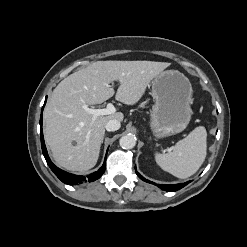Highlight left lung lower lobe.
<instances>
[{"label":"left lung lower lobe","instance_id":"obj_1","mask_svg":"<svg viewBox=\"0 0 247 247\" xmlns=\"http://www.w3.org/2000/svg\"><path fill=\"white\" fill-rule=\"evenodd\" d=\"M136 174L138 175V177L145 181V182H148V183H151V184H154V185H157L160 189L162 190H165V191H168V192H174V191H177L181 188H183L186 184H188L189 182H186V183H181V184H174V185H159V184H155L149 180H146L144 179L138 172H136Z\"/></svg>","mask_w":247,"mask_h":247}]
</instances>
